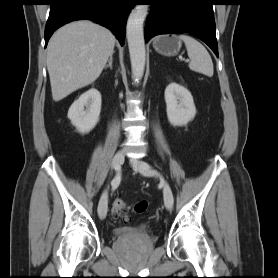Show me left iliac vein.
<instances>
[{
    "label": "left iliac vein",
    "instance_id": "obj_1",
    "mask_svg": "<svg viewBox=\"0 0 278 278\" xmlns=\"http://www.w3.org/2000/svg\"><path fill=\"white\" fill-rule=\"evenodd\" d=\"M132 166L144 176H157V173L152 169V167L144 161H134ZM163 196L165 207L168 210H171L173 207L174 198L171 187L166 181H163Z\"/></svg>",
    "mask_w": 278,
    "mask_h": 278
}]
</instances>
